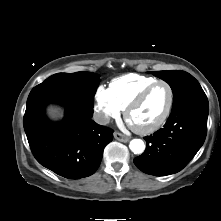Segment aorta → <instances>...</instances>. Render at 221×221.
<instances>
[{
	"label": "aorta",
	"mask_w": 221,
	"mask_h": 221,
	"mask_svg": "<svg viewBox=\"0 0 221 221\" xmlns=\"http://www.w3.org/2000/svg\"><path fill=\"white\" fill-rule=\"evenodd\" d=\"M129 148L134 154H141L145 150V144L141 139H133L130 141Z\"/></svg>",
	"instance_id": "obj_1"
}]
</instances>
